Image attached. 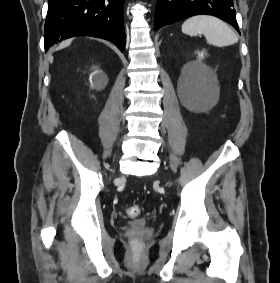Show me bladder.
Listing matches in <instances>:
<instances>
[{
  "label": "bladder",
  "instance_id": "bladder-1",
  "mask_svg": "<svg viewBox=\"0 0 280 283\" xmlns=\"http://www.w3.org/2000/svg\"><path fill=\"white\" fill-rule=\"evenodd\" d=\"M149 224V220L147 218L136 219L129 222V225L136 230H142L146 228Z\"/></svg>",
  "mask_w": 280,
  "mask_h": 283
}]
</instances>
